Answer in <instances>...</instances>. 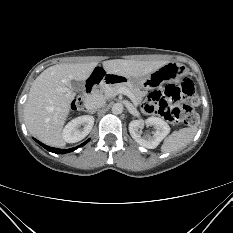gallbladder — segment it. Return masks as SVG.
Returning a JSON list of instances; mask_svg holds the SVG:
<instances>
[{"mask_svg": "<svg viewBox=\"0 0 233 233\" xmlns=\"http://www.w3.org/2000/svg\"><path fill=\"white\" fill-rule=\"evenodd\" d=\"M71 85L74 90L76 91H82L84 89V84L80 81H71Z\"/></svg>", "mask_w": 233, "mask_h": 233, "instance_id": "1", "label": "gallbladder"}]
</instances>
